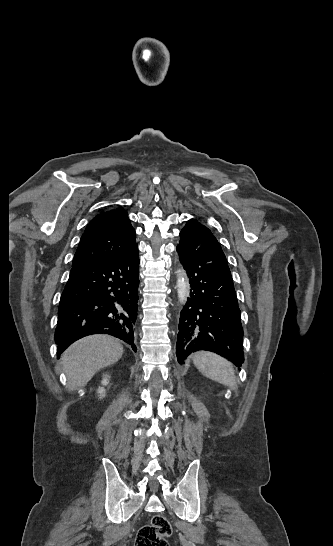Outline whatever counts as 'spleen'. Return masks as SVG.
I'll return each instance as SVG.
<instances>
[{
  "label": "spleen",
  "mask_w": 333,
  "mask_h": 546,
  "mask_svg": "<svg viewBox=\"0 0 333 546\" xmlns=\"http://www.w3.org/2000/svg\"><path fill=\"white\" fill-rule=\"evenodd\" d=\"M193 362L205 377L229 387L236 385L232 365L223 357L210 352H197L193 355Z\"/></svg>",
  "instance_id": "1"
}]
</instances>
